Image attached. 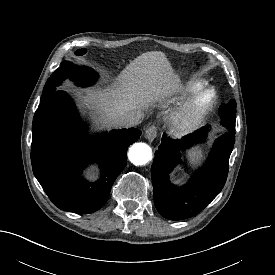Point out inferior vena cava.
<instances>
[{
    "label": "inferior vena cava",
    "instance_id": "1",
    "mask_svg": "<svg viewBox=\"0 0 275 275\" xmlns=\"http://www.w3.org/2000/svg\"><path fill=\"white\" fill-rule=\"evenodd\" d=\"M140 119L141 115L135 112H126L116 120V123L119 127H132L137 125Z\"/></svg>",
    "mask_w": 275,
    "mask_h": 275
}]
</instances>
